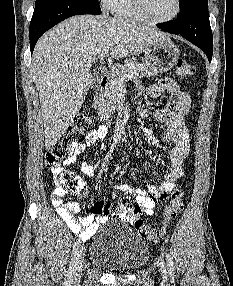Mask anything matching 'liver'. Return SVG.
Returning <instances> with one entry per match:
<instances>
[{
	"mask_svg": "<svg viewBox=\"0 0 233 286\" xmlns=\"http://www.w3.org/2000/svg\"><path fill=\"white\" fill-rule=\"evenodd\" d=\"M167 38L146 25L106 15L74 16L45 33L36 44L30 73L39 94L46 148L57 144L82 106L92 80L89 69L104 47L118 59Z\"/></svg>",
	"mask_w": 233,
	"mask_h": 286,
	"instance_id": "obj_1",
	"label": "liver"
}]
</instances>
